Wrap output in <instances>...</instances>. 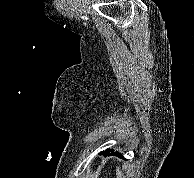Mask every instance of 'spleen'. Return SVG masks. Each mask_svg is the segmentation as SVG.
Returning <instances> with one entry per match:
<instances>
[{"instance_id": "1", "label": "spleen", "mask_w": 194, "mask_h": 178, "mask_svg": "<svg viewBox=\"0 0 194 178\" xmlns=\"http://www.w3.org/2000/svg\"><path fill=\"white\" fill-rule=\"evenodd\" d=\"M116 176L117 178H123L119 167H116Z\"/></svg>"}]
</instances>
